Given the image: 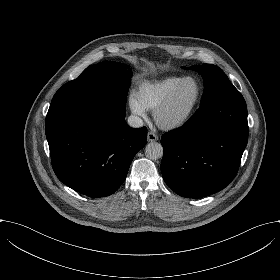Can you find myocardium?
Here are the masks:
<instances>
[{
    "label": "myocardium",
    "mask_w": 280,
    "mask_h": 280,
    "mask_svg": "<svg viewBox=\"0 0 280 280\" xmlns=\"http://www.w3.org/2000/svg\"><path fill=\"white\" fill-rule=\"evenodd\" d=\"M190 79H195L199 83V95L195 105L183 115L170 117L169 113L173 106L175 97L183 87L184 83ZM204 93H205L204 85L198 77L192 75L185 76L177 85V87L170 92L166 101L155 111V118L158 125L162 129L172 131V130L179 129L185 124H187L195 115L198 108L200 107L204 97Z\"/></svg>",
    "instance_id": "f54148a6"
}]
</instances>
